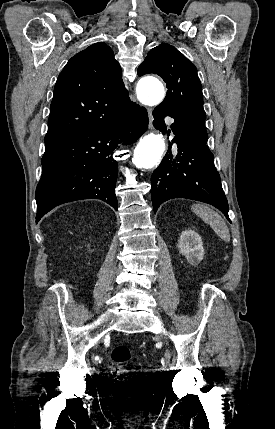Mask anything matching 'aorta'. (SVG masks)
<instances>
[{"mask_svg": "<svg viewBox=\"0 0 275 429\" xmlns=\"http://www.w3.org/2000/svg\"><path fill=\"white\" fill-rule=\"evenodd\" d=\"M137 95L143 104L154 106L162 102L165 89L158 79L147 77L138 83ZM164 151L165 142L162 134L150 133L138 142L133 161L139 168H152L160 162Z\"/></svg>", "mask_w": 275, "mask_h": 429, "instance_id": "1", "label": "aorta"}]
</instances>
